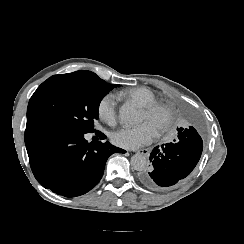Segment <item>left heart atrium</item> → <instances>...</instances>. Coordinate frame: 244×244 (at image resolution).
I'll list each match as a JSON object with an SVG mask.
<instances>
[{
  "label": "left heart atrium",
  "mask_w": 244,
  "mask_h": 244,
  "mask_svg": "<svg viewBox=\"0 0 244 244\" xmlns=\"http://www.w3.org/2000/svg\"><path fill=\"white\" fill-rule=\"evenodd\" d=\"M158 136V131L149 123H142L141 125L131 129H121L111 135L113 144L129 149L135 150L142 146L153 143Z\"/></svg>",
  "instance_id": "left-heart-atrium-1"
}]
</instances>
